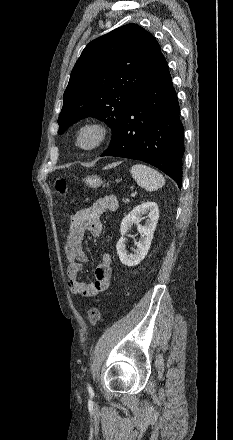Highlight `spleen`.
Returning a JSON list of instances; mask_svg holds the SVG:
<instances>
[{"instance_id": "obj_1", "label": "spleen", "mask_w": 233, "mask_h": 440, "mask_svg": "<svg viewBox=\"0 0 233 440\" xmlns=\"http://www.w3.org/2000/svg\"><path fill=\"white\" fill-rule=\"evenodd\" d=\"M130 172L136 183L148 191H155L165 184L162 174L147 165L135 164Z\"/></svg>"}]
</instances>
